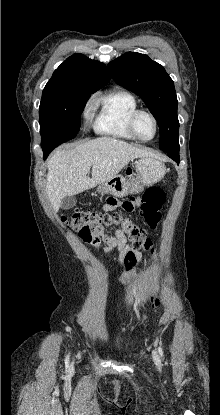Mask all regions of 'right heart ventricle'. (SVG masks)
I'll use <instances>...</instances> for the list:
<instances>
[{"label": "right heart ventricle", "mask_w": 220, "mask_h": 415, "mask_svg": "<svg viewBox=\"0 0 220 415\" xmlns=\"http://www.w3.org/2000/svg\"><path fill=\"white\" fill-rule=\"evenodd\" d=\"M98 108L94 129L97 133L112 137L135 140L128 122L131 114L138 109L136 98L125 91L108 93L96 102Z\"/></svg>", "instance_id": "obj_1"}]
</instances>
